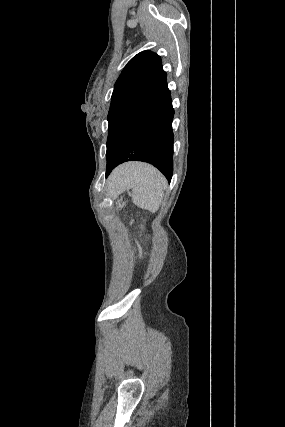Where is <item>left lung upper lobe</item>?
<instances>
[{
  "instance_id": "left-lung-upper-lobe-1",
  "label": "left lung upper lobe",
  "mask_w": 285,
  "mask_h": 427,
  "mask_svg": "<svg viewBox=\"0 0 285 427\" xmlns=\"http://www.w3.org/2000/svg\"><path fill=\"white\" fill-rule=\"evenodd\" d=\"M161 58L151 51L134 56L117 79L108 113L107 168L129 123L166 83Z\"/></svg>"
}]
</instances>
